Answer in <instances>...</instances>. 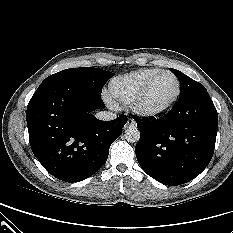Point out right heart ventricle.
<instances>
[{
	"mask_svg": "<svg viewBox=\"0 0 233 233\" xmlns=\"http://www.w3.org/2000/svg\"><path fill=\"white\" fill-rule=\"evenodd\" d=\"M159 68H142L112 79L109 83V94L118 102L129 103L142 88L145 82L154 74L159 72Z\"/></svg>",
	"mask_w": 233,
	"mask_h": 233,
	"instance_id": "e07e8e85",
	"label": "right heart ventricle"
}]
</instances>
